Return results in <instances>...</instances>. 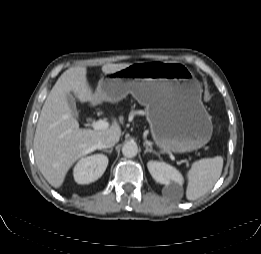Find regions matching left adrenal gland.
<instances>
[{
    "label": "left adrenal gland",
    "instance_id": "1",
    "mask_svg": "<svg viewBox=\"0 0 261 254\" xmlns=\"http://www.w3.org/2000/svg\"><path fill=\"white\" fill-rule=\"evenodd\" d=\"M144 147H145V151H144V154H146V153H155L156 154V152L155 151H153L152 149H150L145 143H144Z\"/></svg>",
    "mask_w": 261,
    "mask_h": 254
}]
</instances>
